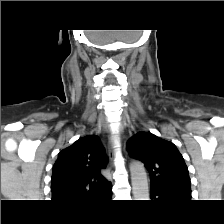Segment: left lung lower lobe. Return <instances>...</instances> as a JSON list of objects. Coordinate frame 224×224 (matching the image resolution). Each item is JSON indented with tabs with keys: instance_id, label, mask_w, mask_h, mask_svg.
Segmentation results:
<instances>
[{
	"instance_id": "left-lung-lower-lobe-1",
	"label": "left lung lower lobe",
	"mask_w": 224,
	"mask_h": 224,
	"mask_svg": "<svg viewBox=\"0 0 224 224\" xmlns=\"http://www.w3.org/2000/svg\"><path fill=\"white\" fill-rule=\"evenodd\" d=\"M151 199L159 202H185L189 201L191 194L186 192H175L161 190L154 186H151Z\"/></svg>"
}]
</instances>
